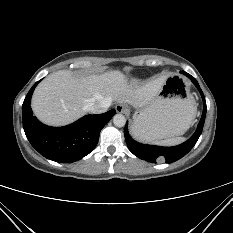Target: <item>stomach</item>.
I'll return each mask as SVG.
<instances>
[{
    "label": "stomach",
    "instance_id": "obj_1",
    "mask_svg": "<svg viewBox=\"0 0 233 233\" xmlns=\"http://www.w3.org/2000/svg\"><path fill=\"white\" fill-rule=\"evenodd\" d=\"M195 115L188 82L182 75L172 73L148 105L135 108L132 126L139 140L157 142L184 134Z\"/></svg>",
    "mask_w": 233,
    "mask_h": 233
}]
</instances>
